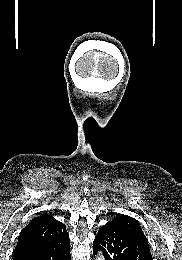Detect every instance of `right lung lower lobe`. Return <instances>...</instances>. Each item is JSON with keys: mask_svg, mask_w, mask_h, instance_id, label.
Here are the masks:
<instances>
[{"mask_svg": "<svg viewBox=\"0 0 182 260\" xmlns=\"http://www.w3.org/2000/svg\"><path fill=\"white\" fill-rule=\"evenodd\" d=\"M14 260H71L70 241L16 256Z\"/></svg>", "mask_w": 182, "mask_h": 260, "instance_id": "98d812e1", "label": "right lung lower lobe"}]
</instances>
